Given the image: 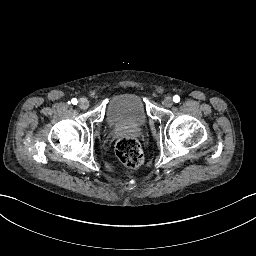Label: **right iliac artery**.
<instances>
[{"label":"right iliac artery","instance_id":"82829eb1","mask_svg":"<svg viewBox=\"0 0 256 256\" xmlns=\"http://www.w3.org/2000/svg\"><path fill=\"white\" fill-rule=\"evenodd\" d=\"M71 103L74 104V105H77L78 101H77L76 98H73V99L71 100Z\"/></svg>","mask_w":256,"mask_h":256}]
</instances>
